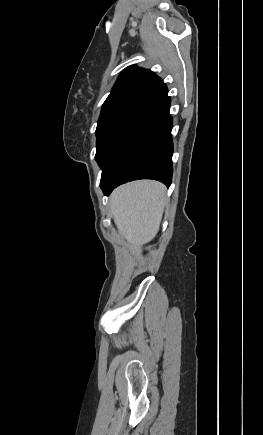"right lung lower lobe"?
<instances>
[{"label": "right lung lower lobe", "instance_id": "1", "mask_svg": "<svg viewBox=\"0 0 263 435\" xmlns=\"http://www.w3.org/2000/svg\"><path fill=\"white\" fill-rule=\"evenodd\" d=\"M168 90L146 103L125 130L115 154L102 170L101 187L137 179H155L168 187L172 179V118Z\"/></svg>", "mask_w": 263, "mask_h": 435}]
</instances>
